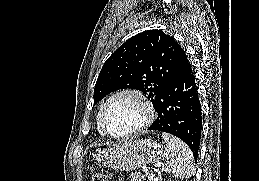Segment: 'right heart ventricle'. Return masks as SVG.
I'll use <instances>...</instances> for the list:
<instances>
[{
	"instance_id": "right-heart-ventricle-1",
	"label": "right heart ventricle",
	"mask_w": 259,
	"mask_h": 181,
	"mask_svg": "<svg viewBox=\"0 0 259 181\" xmlns=\"http://www.w3.org/2000/svg\"><path fill=\"white\" fill-rule=\"evenodd\" d=\"M97 122H98V131L101 135H105V133L103 132L100 124H99V113H98V116H97Z\"/></svg>"
}]
</instances>
